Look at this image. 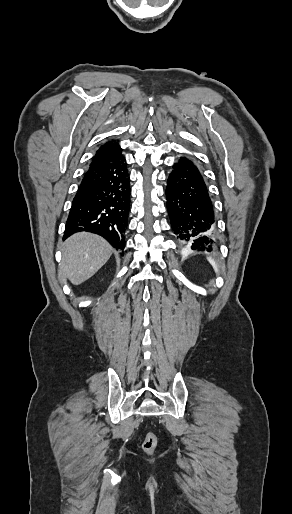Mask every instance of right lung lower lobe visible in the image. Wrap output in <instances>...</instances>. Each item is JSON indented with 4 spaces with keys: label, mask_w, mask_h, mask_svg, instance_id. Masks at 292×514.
<instances>
[{
    "label": "right lung lower lobe",
    "mask_w": 292,
    "mask_h": 514,
    "mask_svg": "<svg viewBox=\"0 0 292 514\" xmlns=\"http://www.w3.org/2000/svg\"><path fill=\"white\" fill-rule=\"evenodd\" d=\"M130 191L129 172L122 154L100 163L91 162L73 199L63 238L87 231L123 250Z\"/></svg>",
    "instance_id": "98d812e1"
}]
</instances>
